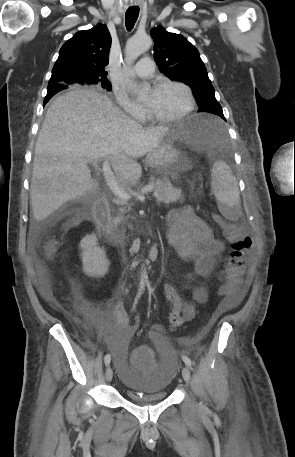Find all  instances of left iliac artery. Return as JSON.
<instances>
[{"mask_svg": "<svg viewBox=\"0 0 295 457\" xmlns=\"http://www.w3.org/2000/svg\"><path fill=\"white\" fill-rule=\"evenodd\" d=\"M182 360L185 362V364H186L187 366H189V367L191 368L192 362H191V360H190L189 357L183 355V356H182Z\"/></svg>", "mask_w": 295, "mask_h": 457, "instance_id": "1", "label": "left iliac artery"}]
</instances>
